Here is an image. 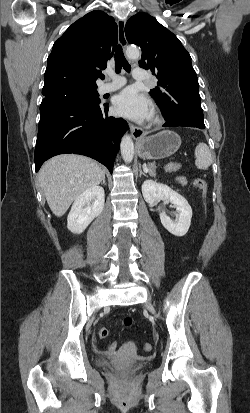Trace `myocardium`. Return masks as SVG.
Wrapping results in <instances>:
<instances>
[{"mask_svg": "<svg viewBox=\"0 0 250 413\" xmlns=\"http://www.w3.org/2000/svg\"><path fill=\"white\" fill-rule=\"evenodd\" d=\"M162 120V113L159 108L155 107L151 113V122L154 124L160 123Z\"/></svg>", "mask_w": 250, "mask_h": 413, "instance_id": "myocardium-1", "label": "myocardium"}]
</instances>
